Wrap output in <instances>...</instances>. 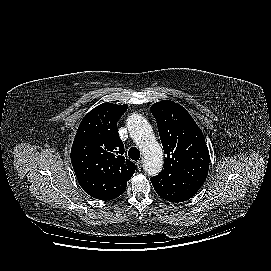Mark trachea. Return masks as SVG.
I'll return each instance as SVG.
<instances>
[{"mask_svg":"<svg viewBox=\"0 0 271 271\" xmlns=\"http://www.w3.org/2000/svg\"><path fill=\"white\" fill-rule=\"evenodd\" d=\"M128 156L132 159V160H139L140 158V151L139 149H137L136 147H131L128 151Z\"/></svg>","mask_w":271,"mask_h":271,"instance_id":"3493384b","label":"trachea"}]
</instances>
